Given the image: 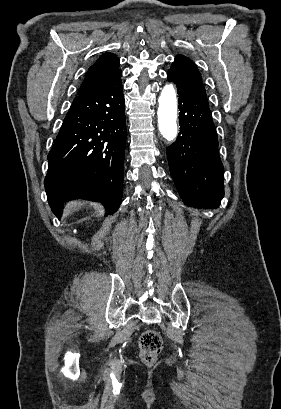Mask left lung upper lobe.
Segmentation results:
<instances>
[{
  "mask_svg": "<svg viewBox=\"0 0 281 409\" xmlns=\"http://www.w3.org/2000/svg\"><path fill=\"white\" fill-rule=\"evenodd\" d=\"M169 71L175 73L178 77L183 78L189 84L206 94L201 75L195 64L189 58L183 55H177Z\"/></svg>",
  "mask_w": 281,
  "mask_h": 409,
  "instance_id": "obj_1",
  "label": "left lung upper lobe"
}]
</instances>
